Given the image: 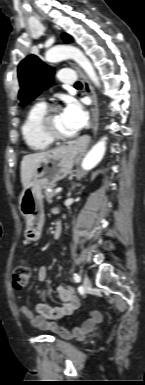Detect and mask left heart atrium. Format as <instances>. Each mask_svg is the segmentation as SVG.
<instances>
[{
	"instance_id": "obj_1",
	"label": "left heart atrium",
	"mask_w": 145,
	"mask_h": 385,
	"mask_svg": "<svg viewBox=\"0 0 145 385\" xmlns=\"http://www.w3.org/2000/svg\"><path fill=\"white\" fill-rule=\"evenodd\" d=\"M62 113L67 124L74 132L81 130L87 123V113L76 100H68Z\"/></svg>"
}]
</instances>
